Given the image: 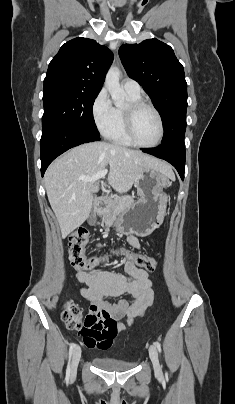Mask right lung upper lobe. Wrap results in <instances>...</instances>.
Masks as SVG:
<instances>
[{
	"label": "right lung upper lobe",
	"instance_id": "cb5924a9",
	"mask_svg": "<svg viewBox=\"0 0 235 404\" xmlns=\"http://www.w3.org/2000/svg\"><path fill=\"white\" fill-rule=\"evenodd\" d=\"M113 53L95 40L78 37L63 44L49 64L44 86L62 85L99 93Z\"/></svg>",
	"mask_w": 235,
	"mask_h": 404
}]
</instances>
